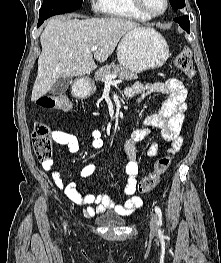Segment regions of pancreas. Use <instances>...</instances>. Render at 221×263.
Instances as JSON below:
<instances>
[{"instance_id":"pancreas-1","label":"pancreas","mask_w":221,"mask_h":263,"mask_svg":"<svg viewBox=\"0 0 221 263\" xmlns=\"http://www.w3.org/2000/svg\"><path fill=\"white\" fill-rule=\"evenodd\" d=\"M109 75H117L122 80H136L138 75L121 65H115L111 63L109 65H105L101 67L95 75V79L99 81H106L107 76Z\"/></svg>"}]
</instances>
